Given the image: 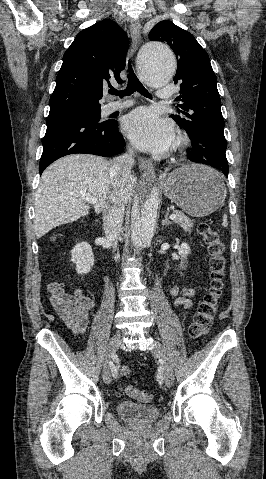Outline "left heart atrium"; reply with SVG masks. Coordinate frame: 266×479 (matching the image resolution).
Listing matches in <instances>:
<instances>
[{
  "label": "left heart atrium",
  "instance_id": "left-heart-atrium-1",
  "mask_svg": "<svg viewBox=\"0 0 266 479\" xmlns=\"http://www.w3.org/2000/svg\"><path fill=\"white\" fill-rule=\"evenodd\" d=\"M123 130L135 145L157 153L166 151L174 137L172 125L145 107L125 117Z\"/></svg>",
  "mask_w": 266,
  "mask_h": 479
}]
</instances>
